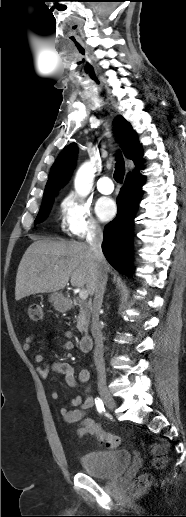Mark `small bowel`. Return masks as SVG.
I'll return each instance as SVG.
<instances>
[{"instance_id": "1", "label": "small bowel", "mask_w": 186, "mask_h": 517, "mask_svg": "<svg viewBox=\"0 0 186 517\" xmlns=\"http://www.w3.org/2000/svg\"><path fill=\"white\" fill-rule=\"evenodd\" d=\"M64 335L69 338L72 336L71 332H65ZM33 341L34 335L30 334L26 336L23 343V349L25 351H30ZM62 349L65 351H71L74 349V343L71 340H67L62 344ZM34 360L37 364V371L41 377H47L50 371L62 374L66 384L71 388H76L80 384H86L90 380V371L87 368L81 369L76 375L73 366L67 362L56 361L49 365L42 354L35 355ZM51 397L53 400L57 401L60 398V394L57 391H53L51 393ZM93 405L94 400L90 394V388H87L84 397L75 396L60 409V414L66 423H79V427L75 432V435L78 438H82L87 435H95L98 438V429H101V427L95 422L85 419L86 414Z\"/></svg>"}]
</instances>
